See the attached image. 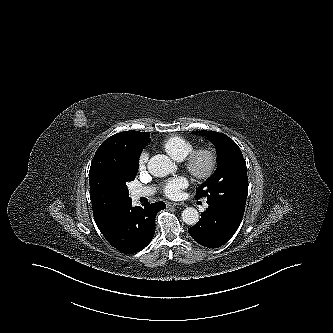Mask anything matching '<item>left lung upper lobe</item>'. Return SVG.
<instances>
[{
  "mask_svg": "<svg viewBox=\"0 0 333 333\" xmlns=\"http://www.w3.org/2000/svg\"><path fill=\"white\" fill-rule=\"evenodd\" d=\"M215 145L218 166L215 173L197 188L196 199L207 200L244 211L248 193L246 162L238 145L227 135L214 132H202Z\"/></svg>",
  "mask_w": 333,
  "mask_h": 333,
  "instance_id": "obj_1",
  "label": "left lung upper lobe"
}]
</instances>
